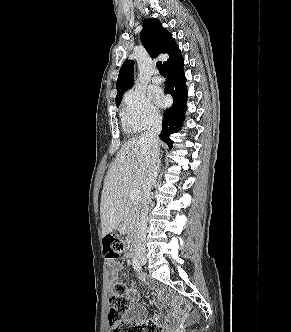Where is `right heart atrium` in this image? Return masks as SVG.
<instances>
[{
  "label": "right heart atrium",
  "mask_w": 291,
  "mask_h": 332,
  "mask_svg": "<svg viewBox=\"0 0 291 332\" xmlns=\"http://www.w3.org/2000/svg\"><path fill=\"white\" fill-rule=\"evenodd\" d=\"M122 118L126 128L133 132L148 130L161 121L151 99L139 88H131L124 95Z\"/></svg>",
  "instance_id": "right-heart-atrium-1"
}]
</instances>
